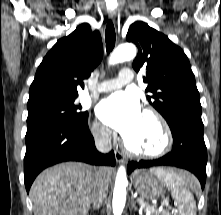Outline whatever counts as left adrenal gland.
<instances>
[{"instance_id":"obj_1","label":"left adrenal gland","mask_w":221,"mask_h":215,"mask_svg":"<svg viewBox=\"0 0 221 215\" xmlns=\"http://www.w3.org/2000/svg\"><path fill=\"white\" fill-rule=\"evenodd\" d=\"M131 206H132V208H134V210L137 211V206H136V203L134 202V200L132 201Z\"/></svg>"}]
</instances>
